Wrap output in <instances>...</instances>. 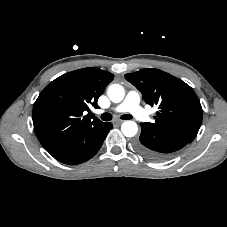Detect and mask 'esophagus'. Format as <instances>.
<instances>
[{"mask_svg": "<svg viewBox=\"0 0 227 227\" xmlns=\"http://www.w3.org/2000/svg\"><path fill=\"white\" fill-rule=\"evenodd\" d=\"M114 123L121 124V123H123V120H115Z\"/></svg>", "mask_w": 227, "mask_h": 227, "instance_id": "esophagus-1", "label": "esophagus"}]
</instances>
